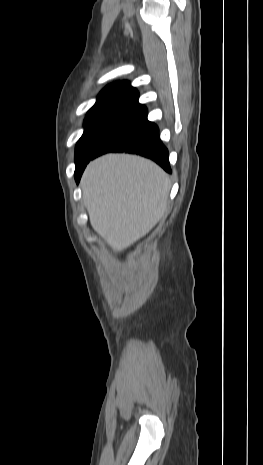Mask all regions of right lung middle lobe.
<instances>
[{
    "label": "right lung middle lobe",
    "mask_w": 263,
    "mask_h": 465,
    "mask_svg": "<svg viewBox=\"0 0 263 465\" xmlns=\"http://www.w3.org/2000/svg\"><path fill=\"white\" fill-rule=\"evenodd\" d=\"M137 104V101H105L88 111L84 133L76 145V168L92 158L104 138Z\"/></svg>",
    "instance_id": "dd1d6c3e"
}]
</instances>
